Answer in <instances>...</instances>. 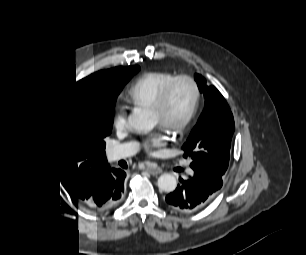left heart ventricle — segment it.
<instances>
[{"mask_svg": "<svg viewBox=\"0 0 306 255\" xmlns=\"http://www.w3.org/2000/svg\"><path fill=\"white\" fill-rule=\"evenodd\" d=\"M193 94V88L189 83L178 84L165 109L162 112H152L154 122L164 127L178 124L187 115L191 107Z\"/></svg>", "mask_w": 306, "mask_h": 255, "instance_id": "obj_1", "label": "left heart ventricle"}]
</instances>
